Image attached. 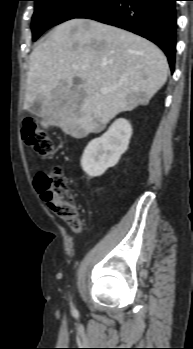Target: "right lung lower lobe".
Instances as JSON below:
<instances>
[{"instance_id":"obj_1","label":"right lung lower lobe","mask_w":193,"mask_h":349,"mask_svg":"<svg viewBox=\"0 0 193 349\" xmlns=\"http://www.w3.org/2000/svg\"><path fill=\"white\" fill-rule=\"evenodd\" d=\"M177 0H98L76 18L117 26L157 44L174 71Z\"/></svg>"}]
</instances>
